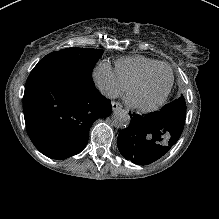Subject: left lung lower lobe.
I'll return each instance as SVG.
<instances>
[{"label": "left lung lower lobe", "instance_id": "0a47b994", "mask_svg": "<svg viewBox=\"0 0 219 219\" xmlns=\"http://www.w3.org/2000/svg\"><path fill=\"white\" fill-rule=\"evenodd\" d=\"M130 117L129 127L118 136V148L126 159L140 165L150 164L167 153L179 139L185 121L159 111Z\"/></svg>", "mask_w": 219, "mask_h": 219}]
</instances>
